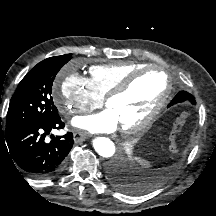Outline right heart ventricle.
<instances>
[{"label": "right heart ventricle", "instance_id": "e07e8e85", "mask_svg": "<svg viewBox=\"0 0 216 216\" xmlns=\"http://www.w3.org/2000/svg\"><path fill=\"white\" fill-rule=\"evenodd\" d=\"M142 66L131 61L94 65L89 69V82L95 93L103 98L130 72Z\"/></svg>", "mask_w": 216, "mask_h": 216}]
</instances>
